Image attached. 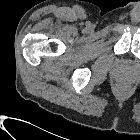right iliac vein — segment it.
I'll return each instance as SVG.
<instances>
[{
  "label": "right iliac vein",
  "mask_w": 140,
  "mask_h": 140,
  "mask_svg": "<svg viewBox=\"0 0 140 140\" xmlns=\"http://www.w3.org/2000/svg\"><path fill=\"white\" fill-rule=\"evenodd\" d=\"M90 27H91V26H88L86 29H87V30H90Z\"/></svg>",
  "instance_id": "right-iliac-vein-1"
}]
</instances>
